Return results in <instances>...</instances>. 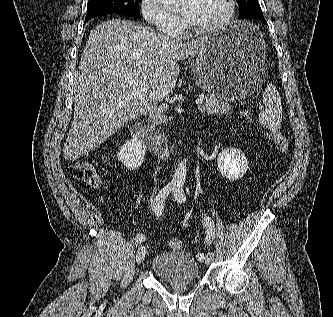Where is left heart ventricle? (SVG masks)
Wrapping results in <instances>:
<instances>
[{
	"mask_svg": "<svg viewBox=\"0 0 333 317\" xmlns=\"http://www.w3.org/2000/svg\"><path fill=\"white\" fill-rule=\"evenodd\" d=\"M226 8L225 0H184L179 11L193 26L206 28L218 22Z\"/></svg>",
	"mask_w": 333,
	"mask_h": 317,
	"instance_id": "b2bd125f",
	"label": "left heart ventricle"
}]
</instances>
